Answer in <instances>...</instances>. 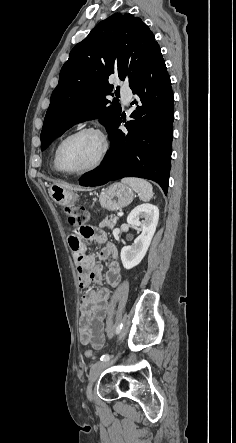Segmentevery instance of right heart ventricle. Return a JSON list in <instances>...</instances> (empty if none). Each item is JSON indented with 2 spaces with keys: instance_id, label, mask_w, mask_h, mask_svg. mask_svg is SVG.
<instances>
[{
  "instance_id": "obj_1",
  "label": "right heart ventricle",
  "mask_w": 236,
  "mask_h": 443,
  "mask_svg": "<svg viewBox=\"0 0 236 443\" xmlns=\"http://www.w3.org/2000/svg\"><path fill=\"white\" fill-rule=\"evenodd\" d=\"M53 166H54V169L58 171V168L56 165V160H55V154H54V158H53Z\"/></svg>"
}]
</instances>
